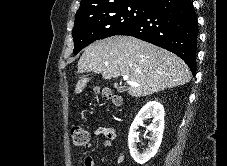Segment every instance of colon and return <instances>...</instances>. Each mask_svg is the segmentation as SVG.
I'll return each mask as SVG.
<instances>
[{
	"mask_svg": "<svg viewBox=\"0 0 227 166\" xmlns=\"http://www.w3.org/2000/svg\"><path fill=\"white\" fill-rule=\"evenodd\" d=\"M102 94L104 97L111 99L116 105L121 104V98L115 96L109 90H103ZM72 143L75 146H88L91 143V135L89 131L81 125H73L70 131Z\"/></svg>",
	"mask_w": 227,
	"mask_h": 166,
	"instance_id": "obj_1",
	"label": "colon"
}]
</instances>
